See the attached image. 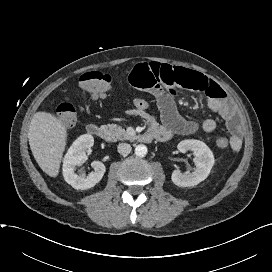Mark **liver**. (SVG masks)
Segmentation results:
<instances>
[{"mask_svg":"<svg viewBox=\"0 0 272 272\" xmlns=\"http://www.w3.org/2000/svg\"><path fill=\"white\" fill-rule=\"evenodd\" d=\"M32 154L40 168L49 176L57 177L66 146L67 129L53 114L36 112L28 132Z\"/></svg>","mask_w":272,"mask_h":272,"instance_id":"6515ba94","label":"liver"}]
</instances>
